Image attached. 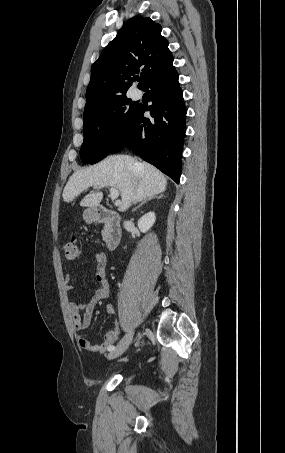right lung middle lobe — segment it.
Masks as SVG:
<instances>
[{
    "label": "right lung middle lobe",
    "mask_w": 285,
    "mask_h": 453,
    "mask_svg": "<svg viewBox=\"0 0 285 453\" xmlns=\"http://www.w3.org/2000/svg\"><path fill=\"white\" fill-rule=\"evenodd\" d=\"M137 108L122 96L84 114V141L80 151L83 163H97L111 153Z\"/></svg>",
    "instance_id": "right-lung-middle-lobe-1"
}]
</instances>
